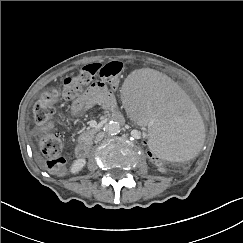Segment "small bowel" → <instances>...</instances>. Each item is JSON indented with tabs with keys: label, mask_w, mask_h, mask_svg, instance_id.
<instances>
[{
	"label": "small bowel",
	"mask_w": 243,
	"mask_h": 243,
	"mask_svg": "<svg viewBox=\"0 0 243 243\" xmlns=\"http://www.w3.org/2000/svg\"><path fill=\"white\" fill-rule=\"evenodd\" d=\"M96 105L106 109H114L116 107L114 94L101 83H95L80 95L72 103L71 110L74 114H80Z\"/></svg>",
	"instance_id": "obj_1"
}]
</instances>
